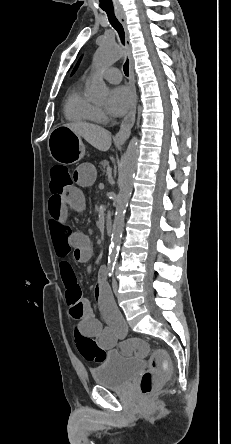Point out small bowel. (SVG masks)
<instances>
[{
	"instance_id": "1",
	"label": "small bowel",
	"mask_w": 231,
	"mask_h": 444,
	"mask_svg": "<svg viewBox=\"0 0 231 444\" xmlns=\"http://www.w3.org/2000/svg\"><path fill=\"white\" fill-rule=\"evenodd\" d=\"M71 176L77 187H70L60 198L50 197L49 232L55 252L61 258L59 269L66 289L70 316L77 321L78 330L84 336L94 339L100 348L108 350L123 338L127 327L104 281L105 270L99 272V281L94 293L101 310L107 317L106 326L95 317L90 302L82 297L72 265L67 260L69 255L77 263H88L92 258L89 238L67 224V213L69 208L79 213L86 211V199L79 187H88L93 184L96 179V170L92 164L82 163Z\"/></svg>"
}]
</instances>
